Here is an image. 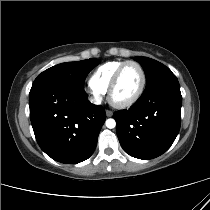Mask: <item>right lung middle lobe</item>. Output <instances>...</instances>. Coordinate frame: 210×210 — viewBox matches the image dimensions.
I'll return each instance as SVG.
<instances>
[{
	"instance_id": "right-lung-middle-lobe-1",
	"label": "right lung middle lobe",
	"mask_w": 210,
	"mask_h": 210,
	"mask_svg": "<svg viewBox=\"0 0 210 210\" xmlns=\"http://www.w3.org/2000/svg\"><path fill=\"white\" fill-rule=\"evenodd\" d=\"M99 63L100 60L98 59H87L58 64L39 74L33 85L56 82L83 88L88 73Z\"/></svg>"
}]
</instances>
